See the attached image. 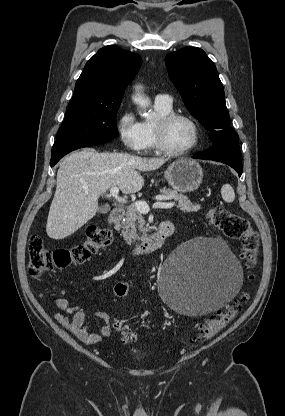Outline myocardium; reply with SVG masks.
Returning <instances> with one entry per match:
<instances>
[{
	"mask_svg": "<svg viewBox=\"0 0 285 416\" xmlns=\"http://www.w3.org/2000/svg\"><path fill=\"white\" fill-rule=\"evenodd\" d=\"M176 119H184L188 121L192 126L194 132V141L192 145L187 149L181 151H175L171 149L165 140V134L168 126ZM154 135L157 150H159L164 155L171 157H181L191 154L199 146L201 138L200 128L197 121L188 114L178 112H170L157 118L154 124Z\"/></svg>",
	"mask_w": 285,
	"mask_h": 416,
	"instance_id": "1",
	"label": "myocardium"
}]
</instances>
